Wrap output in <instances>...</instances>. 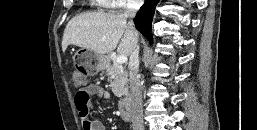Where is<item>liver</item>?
Instances as JSON below:
<instances>
[{
  "instance_id": "obj_1",
  "label": "liver",
  "mask_w": 257,
  "mask_h": 130,
  "mask_svg": "<svg viewBox=\"0 0 257 130\" xmlns=\"http://www.w3.org/2000/svg\"><path fill=\"white\" fill-rule=\"evenodd\" d=\"M69 45L89 49L100 55L111 53L117 48L118 54L127 57L133 50V36L123 15L88 12L68 22L63 34L62 50L65 52Z\"/></svg>"
}]
</instances>
